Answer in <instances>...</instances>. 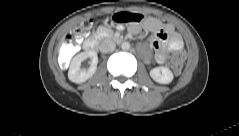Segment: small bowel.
Returning a JSON list of instances; mask_svg holds the SVG:
<instances>
[{"instance_id":"1","label":"small bowel","mask_w":239,"mask_h":136,"mask_svg":"<svg viewBox=\"0 0 239 136\" xmlns=\"http://www.w3.org/2000/svg\"><path fill=\"white\" fill-rule=\"evenodd\" d=\"M144 28L148 31L154 32V37L152 40V47L155 50V60L159 64H164L167 59V50H178L182 46V41L180 36L173 31L171 25H166L164 27L165 31L170 34L169 42H167V34L162 29L163 26L161 22L156 18H147L144 22ZM129 32L132 35L138 34L140 32L139 26H131Z\"/></svg>"}]
</instances>
